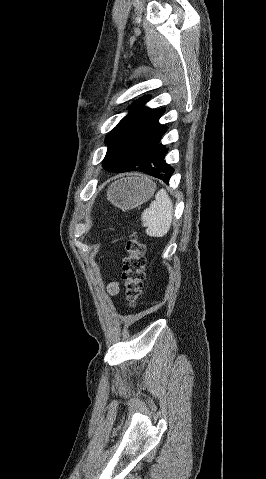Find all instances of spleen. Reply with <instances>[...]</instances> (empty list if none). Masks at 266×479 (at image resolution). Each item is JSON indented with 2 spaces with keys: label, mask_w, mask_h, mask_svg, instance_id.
Wrapping results in <instances>:
<instances>
[{
  "label": "spleen",
  "mask_w": 266,
  "mask_h": 479,
  "mask_svg": "<svg viewBox=\"0 0 266 479\" xmlns=\"http://www.w3.org/2000/svg\"><path fill=\"white\" fill-rule=\"evenodd\" d=\"M173 203L165 189H160L150 207L142 212V226L150 237H164L172 223Z\"/></svg>",
  "instance_id": "1"
}]
</instances>
